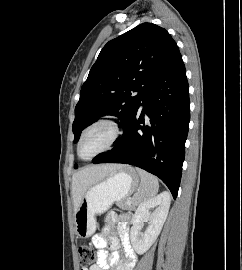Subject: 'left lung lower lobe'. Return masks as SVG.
Listing matches in <instances>:
<instances>
[{"label":"left lung lower lobe","mask_w":242,"mask_h":270,"mask_svg":"<svg viewBox=\"0 0 242 270\" xmlns=\"http://www.w3.org/2000/svg\"><path fill=\"white\" fill-rule=\"evenodd\" d=\"M142 102L144 109L140 114L137 110L115 147L94 158L93 163L140 167L158 176L175 199L190 121L189 86L181 55L157 76Z\"/></svg>","instance_id":"1"}]
</instances>
